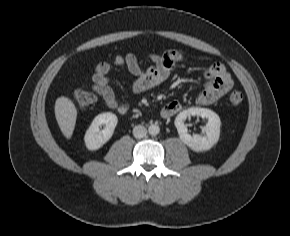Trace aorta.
<instances>
[{"label":"aorta","instance_id":"obj_1","mask_svg":"<svg viewBox=\"0 0 290 236\" xmlns=\"http://www.w3.org/2000/svg\"><path fill=\"white\" fill-rule=\"evenodd\" d=\"M148 131L150 135H157L160 132V128L156 124H152L148 127Z\"/></svg>","mask_w":290,"mask_h":236}]
</instances>
